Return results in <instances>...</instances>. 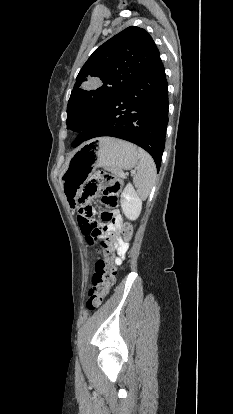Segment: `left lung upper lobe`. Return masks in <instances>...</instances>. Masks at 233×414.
<instances>
[{"label":"left lung upper lobe","instance_id":"5c2ea615","mask_svg":"<svg viewBox=\"0 0 233 414\" xmlns=\"http://www.w3.org/2000/svg\"><path fill=\"white\" fill-rule=\"evenodd\" d=\"M158 56L159 50L152 37L135 26L126 28L98 47L76 78L67 106V128L77 132L82 130Z\"/></svg>","mask_w":233,"mask_h":414}]
</instances>
